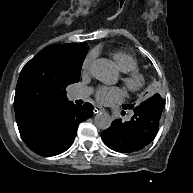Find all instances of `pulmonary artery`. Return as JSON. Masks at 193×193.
Wrapping results in <instances>:
<instances>
[{
	"instance_id": "e3ab8cb5",
	"label": "pulmonary artery",
	"mask_w": 193,
	"mask_h": 193,
	"mask_svg": "<svg viewBox=\"0 0 193 193\" xmlns=\"http://www.w3.org/2000/svg\"><path fill=\"white\" fill-rule=\"evenodd\" d=\"M91 88L82 87L74 91V95L78 97L85 96L91 92Z\"/></svg>"
}]
</instances>
